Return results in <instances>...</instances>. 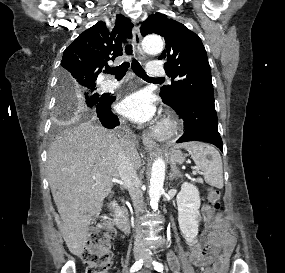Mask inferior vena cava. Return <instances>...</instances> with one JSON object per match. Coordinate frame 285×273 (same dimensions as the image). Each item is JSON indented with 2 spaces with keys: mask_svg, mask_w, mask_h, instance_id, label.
<instances>
[{
  "mask_svg": "<svg viewBox=\"0 0 285 273\" xmlns=\"http://www.w3.org/2000/svg\"><path fill=\"white\" fill-rule=\"evenodd\" d=\"M114 162L123 184L128 188L132 198L134 208L138 214L143 208V194L141 191V181L137 175L136 169L130 161L124 149L122 139L114 145ZM134 253L145 254L144 231L139 223L136 225V237L134 242Z\"/></svg>",
  "mask_w": 285,
  "mask_h": 273,
  "instance_id": "inferior-vena-cava-1",
  "label": "inferior vena cava"
}]
</instances>
